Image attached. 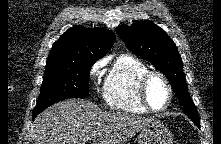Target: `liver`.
Instances as JSON below:
<instances>
[{
  "label": "liver",
  "instance_id": "6515ba94",
  "mask_svg": "<svg viewBox=\"0 0 221 144\" xmlns=\"http://www.w3.org/2000/svg\"><path fill=\"white\" fill-rule=\"evenodd\" d=\"M133 113L102 111L88 100L68 99L52 105L34 120V144H126L156 122Z\"/></svg>",
  "mask_w": 221,
  "mask_h": 144
}]
</instances>
